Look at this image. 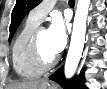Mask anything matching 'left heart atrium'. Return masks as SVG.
Instances as JSON below:
<instances>
[{
  "instance_id": "left-heart-atrium-1",
  "label": "left heart atrium",
  "mask_w": 107,
  "mask_h": 89,
  "mask_svg": "<svg viewBox=\"0 0 107 89\" xmlns=\"http://www.w3.org/2000/svg\"><path fill=\"white\" fill-rule=\"evenodd\" d=\"M48 36L51 49L56 54L60 53L67 42V26L60 15L53 17L52 23L48 29Z\"/></svg>"
}]
</instances>
